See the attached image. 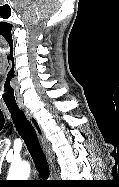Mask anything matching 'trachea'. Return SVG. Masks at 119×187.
Returning a JSON list of instances; mask_svg holds the SVG:
<instances>
[{
    "label": "trachea",
    "instance_id": "3493384b",
    "mask_svg": "<svg viewBox=\"0 0 119 187\" xmlns=\"http://www.w3.org/2000/svg\"><path fill=\"white\" fill-rule=\"evenodd\" d=\"M7 108L11 114V118L17 131L27 145L40 176L43 178H48L50 174L49 164L41 148L33 125L29 122L24 112L19 108L18 105L7 104Z\"/></svg>",
    "mask_w": 119,
    "mask_h": 187
}]
</instances>
